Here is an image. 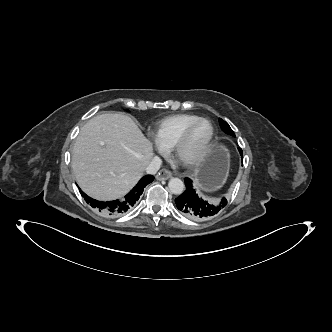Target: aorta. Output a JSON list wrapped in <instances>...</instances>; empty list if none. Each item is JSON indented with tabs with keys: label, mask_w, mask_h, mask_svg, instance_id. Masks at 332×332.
Instances as JSON below:
<instances>
[{
	"label": "aorta",
	"mask_w": 332,
	"mask_h": 332,
	"mask_svg": "<svg viewBox=\"0 0 332 332\" xmlns=\"http://www.w3.org/2000/svg\"><path fill=\"white\" fill-rule=\"evenodd\" d=\"M168 187L171 193L180 195L184 191V183L179 178H172L169 180Z\"/></svg>",
	"instance_id": "1"
}]
</instances>
